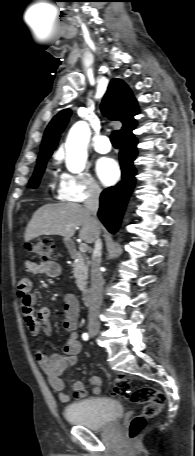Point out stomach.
I'll use <instances>...</instances> for the list:
<instances>
[{
    "label": "stomach",
    "instance_id": "obj_1",
    "mask_svg": "<svg viewBox=\"0 0 195 456\" xmlns=\"http://www.w3.org/2000/svg\"><path fill=\"white\" fill-rule=\"evenodd\" d=\"M64 243H65V244H68V243H69V240L64 239Z\"/></svg>",
    "mask_w": 195,
    "mask_h": 456
}]
</instances>
